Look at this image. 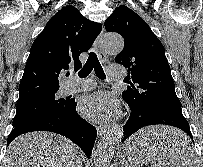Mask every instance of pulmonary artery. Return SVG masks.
Masks as SVG:
<instances>
[{
	"label": "pulmonary artery",
	"mask_w": 203,
	"mask_h": 167,
	"mask_svg": "<svg viewBox=\"0 0 203 167\" xmlns=\"http://www.w3.org/2000/svg\"><path fill=\"white\" fill-rule=\"evenodd\" d=\"M108 75L112 78H121L126 74V69L121 65H110L107 67ZM95 84L91 80H80L76 77L71 78V80L66 85L67 92H76L91 89Z\"/></svg>",
	"instance_id": "e3ab8cb5"
}]
</instances>
